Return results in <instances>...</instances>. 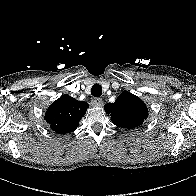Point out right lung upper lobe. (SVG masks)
<instances>
[{"mask_svg":"<svg viewBox=\"0 0 196 196\" xmlns=\"http://www.w3.org/2000/svg\"><path fill=\"white\" fill-rule=\"evenodd\" d=\"M88 107L87 102L78 101L65 94L48 107L45 120L58 134L73 132Z\"/></svg>","mask_w":196,"mask_h":196,"instance_id":"cb5924a9","label":"right lung upper lobe"}]
</instances>
